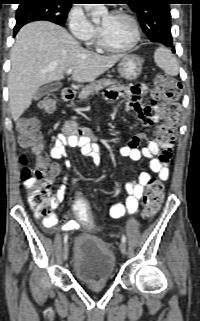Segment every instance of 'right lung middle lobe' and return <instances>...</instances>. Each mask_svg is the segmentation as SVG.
<instances>
[{"label": "right lung middle lobe", "instance_id": "right-lung-middle-lobe-1", "mask_svg": "<svg viewBox=\"0 0 200 321\" xmlns=\"http://www.w3.org/2000/svg\"><path fill=\"white\" fill-rule=\"evenodd\" d=\"M71 4L61 0L21 1L16 12V24L25 20L30 22L33 21L32 18H38L63 26Z\"/></svg>", "mask_w": 200, "mask_h": 321}]
</instances>
